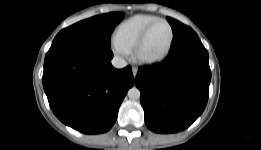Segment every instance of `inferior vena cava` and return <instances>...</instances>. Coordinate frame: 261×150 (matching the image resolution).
<instances>
[{"instance_id": "obj_1", "label": "inferior vena cava", "mask_w": 261, "mask_h": 150, "mask_svg": "<svg viewBox=\"0 0 261 150\" xmlns=\"http://www.w3.org/2000/svg\"><path fill=\"white\" fill-rule=\"evenodd\" d=\"M112 65L113 67L120 69L126 67L127 62L121 57H114L112 59Z\"/></svg>"}]
</instances>
